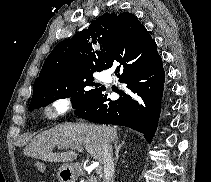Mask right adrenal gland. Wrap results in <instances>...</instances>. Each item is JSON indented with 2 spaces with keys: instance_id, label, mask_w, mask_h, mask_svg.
<instances>
[{
  "instance_id": "1",
  "label": "right adrenal gland",
  "mask_w": 211,
  "mask_h": 182,
  "mask_svg": "<svg viewBox=\"0 0 211 182\" xmlns=\"http://www.w3.org/2000/svg\"><path fill=\"white\" fill-rule=\"evenodd\" d=\"M118 139L115 141V164L118 161V157H119V151L121 149V147L124 145V141L120 144H118Z\"/></svg>"
}]
</instances>
